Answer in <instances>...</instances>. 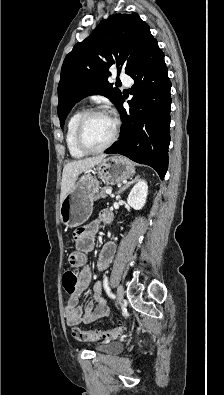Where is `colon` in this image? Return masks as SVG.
I'll return each mask as SVG.
<instances>
[{
  "instance_id": "1",
  "label": "colon",
  "mask_w": 224,
  "mask_h": 395,
  "mask_svg": "<svg viewBox=\"0 0 224 395\" xmlns=\"http://www.w3.org/2000/svg\"><path fill=\"white\" fill-rule=\"evenodd\" d=\"M63 287L69 294L75 292L77 288V276L74 271L68 270L63 275ZM124 327L117 325L113 328L104 329H93L84 330L80 328H74L72 334L74 338L81 342H92V341H105L112 338H116L122 335Z\"/></svg>"
}]
</instances>
